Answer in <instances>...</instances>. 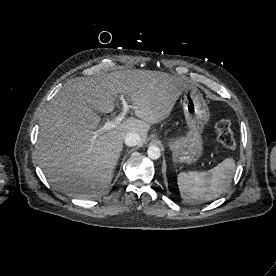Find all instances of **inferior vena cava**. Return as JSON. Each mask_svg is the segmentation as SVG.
<instances>
[{"instance_id":"inferior-vena-cava-1","label":"inferior vena cava","mask_w":276,"mask_h":276,"mask_svg":"<svg viewBox=\"0 0 276 276\" xmlns=\"http://www.w3.org/2000/svg\"><path fill=\"white\" fill-rule=\"evenodd\" d=\"M124 141L127 146L132 147L140 144L141 137L138 133L131 132L126 135Z\"/></svg>"}]
</instances>
